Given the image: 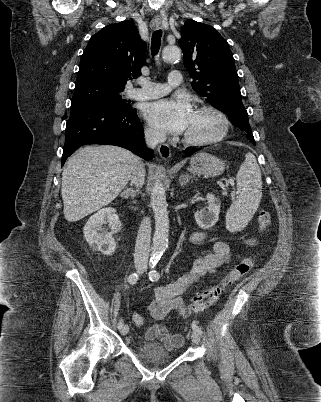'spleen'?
Instances as JSON below:
<instances>
[{"mask_svg": "<svg viewBox=\"0 0 321 402\" xmlns=\"http://www.w3.org/2000/svg\"><path fill=\"white\" fill-rule=\"evenodd\" d=\"M237 197L226 213V228L230 232L242 230L252 219L262 198V178L256 157L245 155L237 175Z\"/></svg>", "mask_w": 321, "mask_h": 402, "instance_id": "1", "label": "spleen"}]
</instances>
